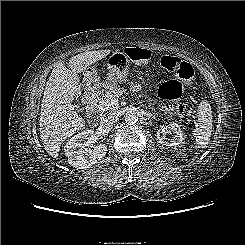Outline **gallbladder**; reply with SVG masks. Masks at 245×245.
I'll return each instance as SVG.
<instances>
[{
    "mask_svg": "<svg viewBox=\"0 0 245 245\" xmlns=\"http://www.w3.org/2000/svg\"><path fill=\"white\" fill-rule=\"evenodd\" d=\"M74 107L78 110L79 105L77 103L74 104Z\"/></svg>",
    "mask_w": 245,
    "mask_h": 245,
    "instance_id": "bac80fb5",
    "label": "gallbladder"
}]
</instances>
